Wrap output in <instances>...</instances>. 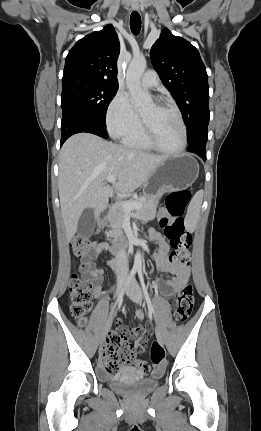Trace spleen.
I'll return each instance as SVG.
<instances>
[{"mask_svg":"<svg viewBox=\"0 0 261 431\" xmlns=\"http://www.w3.org/2000/svg\"><path fill=\"white\" fill-rule=\"evenodd\" d=\"M202 199H203V191L200 190L192 198L189 206V212L195 215H198L201 209Z\"/></svg>","mask_w":261,"mask_h":431,"instance_id":"1","label":"spleen"}]
</instances>
